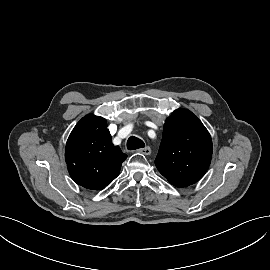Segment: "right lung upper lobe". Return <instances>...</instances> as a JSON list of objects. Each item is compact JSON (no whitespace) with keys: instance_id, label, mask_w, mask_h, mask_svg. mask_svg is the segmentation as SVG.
Wrapping results in <instances>:
<instances>
[{"instance_id":"1","label":"right lung upper lobe","mask_w":270,"mask_h":270,"mask_svg":"<svg viewBox=\"0 0 270 270\" xmlns=\"http://www.w3.org/2000/svg\"><path fill=\"white\" fill-rule=\"evenodd\" d=\"M127 158L114 146L103 117L88 114L72 130L65 148V160L72 179L92 190H101L119 174Z\"/></svg>"}]
</instances>
